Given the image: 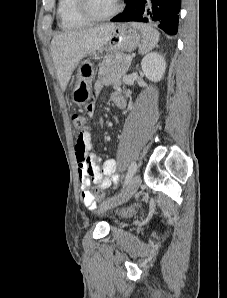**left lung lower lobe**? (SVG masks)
<instances>
[{
  "instance_id": "0a47b994",
  "label": "left lung lower lobe",
  "mask_w": 227,
  "mask_h": 298,
  "mask_svg": "<svg viewBox=\"0 0 227 298\" xmlns=\"http://www.w3.org/2000/svg\"><path fill=\"white\" fill-rule=\"evenodd\" d=\"M124 11L111 19L113 22H150L169 35L178 31L181 0H125Z\"/></svg>"
}]
</instances>
